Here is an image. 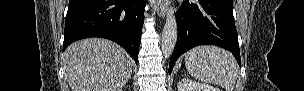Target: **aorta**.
<instances>
[{"label": "aorta", "instance_id": "1", "mask_svg": "<svg viewBox=\"0 0 304 91\" xmlns=\"http://www.w3.org/2000/svg\"><path fill=\"white\" fill-rule=\"evenodd\" d=\"M177 34V21L173 8H170L167 11L161 38V50L165 58H169L172 55L177 42Z\"/></svg>", "mask_w": 304, "mask_h": 91}]
</instances>
